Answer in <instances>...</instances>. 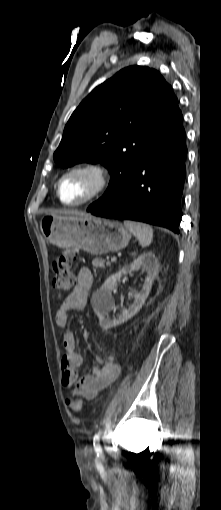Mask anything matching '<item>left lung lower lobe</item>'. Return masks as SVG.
Listing matches in <instances>:
<instances>
[{"mask_svg":"<svg viewBox=\"0 0 221 510\" xmlns=\"http://www.w3.org/2000/svg\"><path fill=\"white\" fill-rule=\"evenodd\" d=\"M186 155L183 131L150 150L116 198L101 206L91 204L87 211L100 217L146 222L179 233Z\"/></svg>","mask_w":221,"mask_h":510,"instance_id":"1","label":"left lung lower lobe"}]
</instances>
